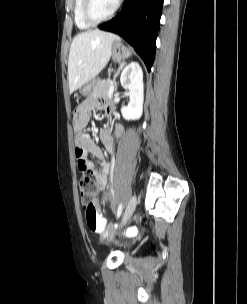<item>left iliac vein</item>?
<instances>
[{"instance_id": "obj_1", "label": "left iliac vein", "mask_w": 247, "mask_h": 304, "mask_svg": "<svg viewBox=\"0 0 247 304\" xmlns=\"http://www.w3.org/2000/svg\"><path fill=\"white\" fill-rule=\"evenodd\" d=\"M136 204H137V197H136V195H133L130 198L128 205L125 209V212L122 216L121 227H124L130 221L132 214L135 210Z\"/></svg>"}]
</instances>
